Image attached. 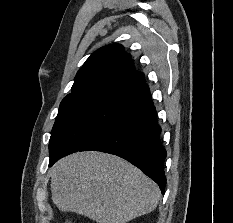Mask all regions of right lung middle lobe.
Masks as SVG:
<instances>
[{
    "mask_svg": "<svg viewBox=\"0 0 233 223\" xmlns=\"http://www.w3.org/2000/svg\"><path fill=\"white\" fill-rule=\"evenodd\" d=\"M124 104L118 91L66 96L51 132L50 153L78 151L122 112Z\"/></svg>",
    "mask_w": 233,
    "mask_h": 223,
    "instance_id": "obj_1",
    "label": "right lung middle lobe"
}]
</instances>
